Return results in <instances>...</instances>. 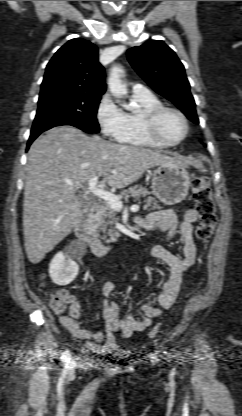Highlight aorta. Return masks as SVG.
I'll list each match as a JSON object with an SVG mask.
<instances>
[{"instance_id": "762f6f07", "label": "aorta", "mask_w": 242, "mask_h": 416, "mask_svg": "<svg viewBox=\"0 0 242 416\" xmlns=\"http://www.w3.org/2000/svg\"><path fill=\"white\" fill-rule=\"evenodd\" d=\"M123 73V69L119 66H113L110 71V75L108 78V87L110 92L116 96L121 97L122 95L127 93L126 86L122 83L121 75ZM127 110H131L132 108L127 105L125 107Z\"/></svg>"}]
</instances>
